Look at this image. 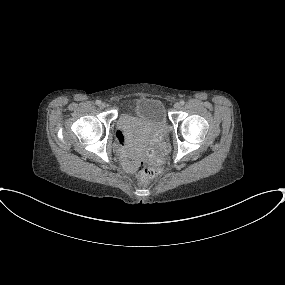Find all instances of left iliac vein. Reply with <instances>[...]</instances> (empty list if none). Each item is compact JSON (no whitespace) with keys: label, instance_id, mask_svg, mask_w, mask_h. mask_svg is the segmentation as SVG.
<instances>
[{"label":"left iliac vein","instance_id":"1","mask_svg":"<svg viewBox=\"0 0 285 285\" xmlns=\"http://www.w3.org/2000/svg\"><path fill=\"white\" fill-rule=\"evenodd\" d=\"M180 107H181V104L180 103H175L174 104V108L177 110V109H180Z\"/></svg>","mask_w":285,"mask_h":285}]
</instances>
